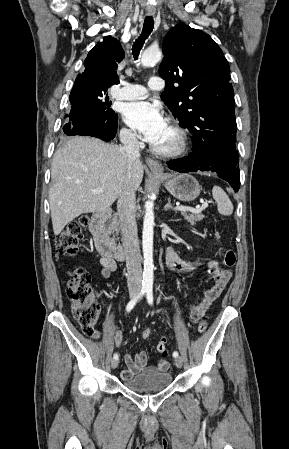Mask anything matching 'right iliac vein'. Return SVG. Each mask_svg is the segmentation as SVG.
Returning a JSON list of instances; mask_svg holds the SVG:
<instances>
[{
    "mask_svg": "<svg viewBox=\"0 0 289 449\" xmlns=\"http://www.w3.org/2000/svg\"><path fill=\"white\" fill-rule=\"evenodd\" d=\"M131 298H135V293H131ZM118 359H113L111 361V367L115 369L118 366Z\"/></svg>",
    "mask_w": 289,
    "mask_h": 449,
    "instance_id": "63e3f726",
    "label": "right iliac vein"
}]
</instances>
